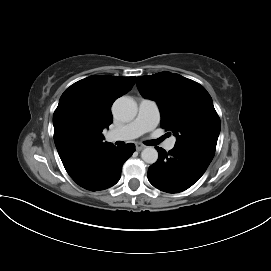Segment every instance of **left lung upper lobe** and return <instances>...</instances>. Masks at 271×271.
Returning <instances> with one entry per match:
<instances>
[{
  "label": "left lung upper lobe",
  "mask_w": 271,
  "mask_h": 271,
  "mask_svg": "<svg viewBox=\"0 0 271 271\" xmlns=\"http://www.w3.org/2000/svg\"><path fill=\"white\" fill-rule=\"evenodd\" d=\"M136 84L143 97L157 102L161 127L174 133L175 145L215 152L221 124L202 85L171 72L137 77Z\"/></svg>",
  "instance_id": "obj_1"
}]
</instances>
